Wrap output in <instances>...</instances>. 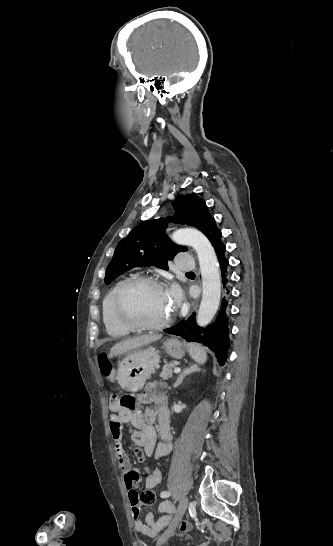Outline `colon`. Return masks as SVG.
I'll list each match as a JSON object with an SVG mask.
<instances>
[{"instance_id":"obj_1","label":"colon","mask_w":333,"mask_h":546,"mask_svg":"<svg viewBox=\"0 0 333 546\" xmlns=\"http://www.w3.org/2000/svg\"><path fill=\"white\" fill-rule=\"evenodd\" d=\"M104 370H108V366L104 364ZM111 403L113 405H121L123 407H130V408H133L135 407L136 405V399L134 396L132 395H128V396H124L120 399V401H118L116 398H113ZM135 453H136V456L137 458L140 460V461H143L144 459V453H143V450L141 448H137L135 450ZM139 501L142 505L144 506H151L153 504H155L156 502V494L155 492L148 488L144 491H142L141 495H140V498H139Z\"/></svg>"}]
</instances>
